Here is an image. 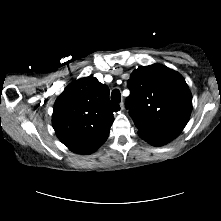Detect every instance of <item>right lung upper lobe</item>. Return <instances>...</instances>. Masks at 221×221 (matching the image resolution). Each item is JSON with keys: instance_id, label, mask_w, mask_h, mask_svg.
Masks as SVG:
<instances>
[{"instance_id": "1", "label": "right lung upper lobe", "mask_w": 221, "mask_h": 221, "mask_svg": "<svg viewBox=\"0 0 221 221\" xmlns=\"http://www.w3.org/2000/svg\"><path fill=\"white\" fill-rule=\"evenodd\" d=\"M120 107L109 99V88L93 76L68 85L57 98L53 128L71 151L90 154L107 140L113 112Z\"/></svg>"}]
</instances>
